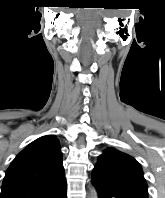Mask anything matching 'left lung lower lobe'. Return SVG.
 Returning a JSON list of instances; mask_svg holds the SVG:
<instances>
[{"mask_svg": "<svg viewBox=\"0 0 165 198\" xmlns=\"http://www.w3.org/2000/svg\"><path fill=\"white\" fill-rule=\"evenodd\" d=\"M92 183L97 189L99 198H142L113 185L95 172H92Z\"/></svg>", "mask_w": 165, "mask_h": 198, "instance_id": "left-lung-lower-lobe-1", "label": "left lung lower lobe"}]
</instances>
